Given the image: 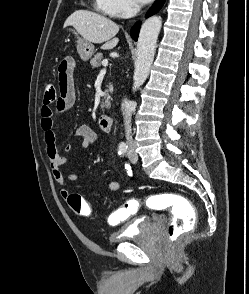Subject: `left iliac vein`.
<instances>
[{
    "label": "left iliac vein",
    "mask_w": 249,
    "mask_h": 294,
    "mask_svg": "<svg viewBox=\"0 0 249 294\" xmlns=\"http://www.w3.org/2000/svg\"><path fill=\"white\" fill-rule=\"evenodd\" d=\"M129 159L132 163H136L138 160V157L133 151H130L129 152Z\"/></svg>",
    "instance_id": "left-iliac-vein-1"
}]
</instances>
